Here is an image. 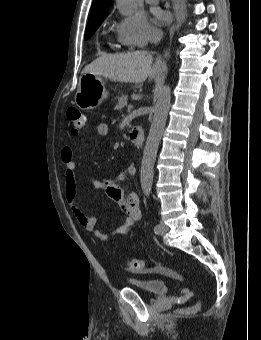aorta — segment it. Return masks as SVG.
Masks as SVG:
<instances>
[{
    "label": "aorta",
    "instance_id": "aorta-1",
    "mask_svg": "<svg viewBox=\"0 0 261 340\" xmlns=\"http://www.w3.org/2000/svg\"><path fill=\"white\" fill-rule=\"evenodd\" d=\"M116 2L120 11L125 15L132 14L137 8V0H116ZM170 105L171 89L168 85H165L157 94L154 116L143 152L140 183L145 194H149L152 189L156 154L164 132Z\"/></svg>",
    "mask_w": 261,
    "mask_h": 340
}]
</instances>
